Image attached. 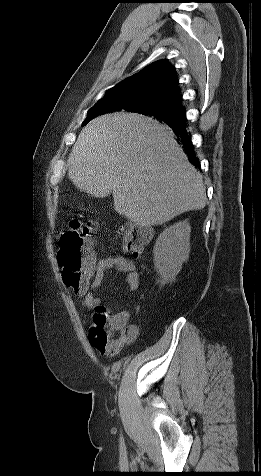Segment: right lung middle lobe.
Instances as JSON below:
<instances>
[{"instance_id":"dd1d6c3e","label":"right lung middle lobe","mask_w":261,"mask_h":476,"mask_svg":"<svg viewBox=\"0 0 261 476\" xmlns=\"http://www.w3.org/2000/svg\"><path fill=\"white\" fill-rule=\"evenodd\" d=\"M121 96L119 94H113L111 96L102 98L93 108H91L87 114L83 125L87 124L93 118L113 111H128L134 113H140L142 115L151 116L164 123L173 124L179 122L184 117V111L169 105L148 101L136 104L120 103Z\"/></svg>"}]
</instances>
